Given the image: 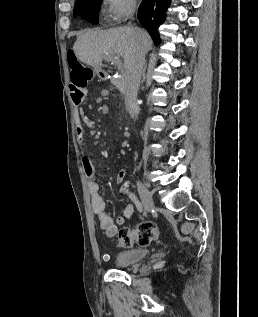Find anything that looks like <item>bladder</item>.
<instances>
[{"label":"bladder","mask_w":258,"mask_h":317,"mask_svg":"<svg viewBox=\"0 0 258 317\" xmlns=\"http://www.w3.org/2000/svg\"><path fill=\"white\" fill-rule=\"evenodd\" d=\"M148 253L149 250L145 248L120 251L115 256V264L120 267L132 266L143 260Z\"/></svg>","instance_id":"1"}]
</instances>
